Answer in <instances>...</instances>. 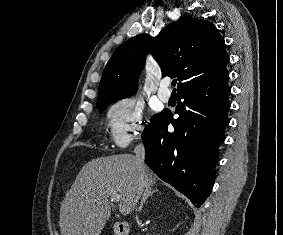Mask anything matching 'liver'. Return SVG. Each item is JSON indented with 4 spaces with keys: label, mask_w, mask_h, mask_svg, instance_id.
<instances>
[{
    "label": "liver",
    "mask_w": 283,
    "mask_h": 235,
    "mask_svg": "<svg viewBox=\"0 0 283 235\" xmlns=\"http://www.w3.org/2000/svg\"><path fill=\"white\" fill-rule=\"evenodd\" d=\"M156 182L146 165L139 171L134 155L92 159L82 167L62 202L61 235H100L111 215L108 197L112 191L120 196L119 211L126 216L137 204L139 187L143 193Z\"/></svg>",
    "instance_id": "liver-1"
}]
</instances>
